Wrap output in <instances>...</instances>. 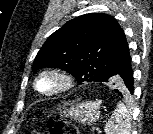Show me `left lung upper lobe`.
<instances>
[{
    "label": "left lung upper lobe",
    "mask_w": 153,
    "mask_h": 134,
    "mask_svg": "<svg viewBox=\"0 0 153 134\" xmlns=\"http://www.w3.org/2000/svg\"><path fill=\"white\" fill-rule=\"evenodd\" d=\"M130 61L124 31L107 14L91 13L68 21L44 43L35 57L33 72L56 67L77 81L106 82L124 91L116 72Z\"/></svg>",
    "instance_id": "obj_1"
}]
</instances>
